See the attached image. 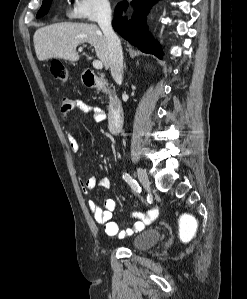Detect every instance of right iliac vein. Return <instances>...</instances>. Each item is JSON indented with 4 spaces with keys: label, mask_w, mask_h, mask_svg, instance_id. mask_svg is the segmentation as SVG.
Instances as JSON below:
<instances>
[{
    "label": "right iliac vein",
    "mask_w": 247,
    "mask_h": 299,
    "mask_svg": "<svg viewBox=\"0 0 247 299\" xmlns=\"http://www.w3.org/2000/svg\"><path fill=\"white\" fill-rule=\"evenodd\" d=\"M137 176L142 186L148 191L150 189V181L147 173L142 168H137Z\"/></svg>",
    "instance_id": "63e3f726"
}]
</instances>
